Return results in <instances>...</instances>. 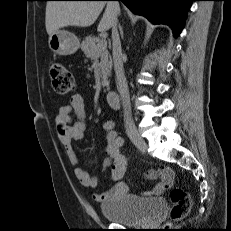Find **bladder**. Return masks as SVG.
Returning a JSON list of instances; mask_svg holds the SVG:
<instances>
[{
	"label": "bladder",
	"mask_w": 231,
	"mask_h": 231,
	"mask_svg": "<svg viewBox=\"0 0 231 231\" xmlns=\"http://www.w3.org/2000/svg\"><path fill=\"white\" fill-rule=\"evenodd\" d=\"M165 208L166 202L163 198L142 199L126 195L104 202L100 206V211L111 222L143 226L159 217Z\"/></svg>",
	"instance_id": "bladder-1"
}]
</instances>
